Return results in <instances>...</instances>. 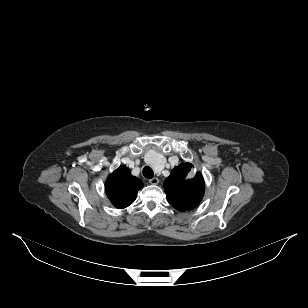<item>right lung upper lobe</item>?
Masks as SVG:
<instances>
[{
    "instance_id": "obj_1",
    "label": "right lung upper lobe",
    "mask_w": 308,
    "mask_h": 308,
    "mask_svg": "<svg viewBox=\"0 0 308 308\" xmlns=\"http://www.w3.org/2000/svg\"><path fill=\"white\" fill-rule=\"evenodd\" d=\"M143 183L131 175L125 166L119 167L106 181V193L115 207L122 209L132 204Z\"/></svg>"
}]
</instances>
